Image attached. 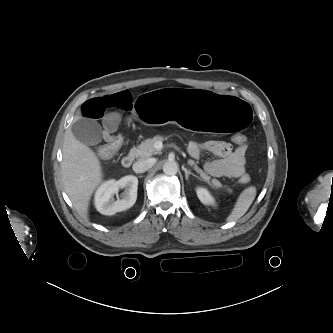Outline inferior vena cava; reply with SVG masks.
<instances>
[{
	"label": "inferior vena cava",
	"mask_w": 333,
	"mask_h": 333,
	"mask_svg": "<svg viewBox=\"0 0 333 333\" xmlns=\"http://www.w3.org/2000/svg\"><path fill=\"white\" fill-rule=\"evenodd\" d=\"M154 163V159H140L133 164L132 169L135 173H143L149 170Z\"/></svg>",
	"instance_id": "inferior-vena-cava-1"
}]
</instances>
